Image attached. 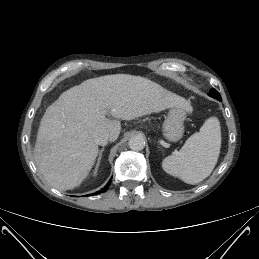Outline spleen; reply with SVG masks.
<instances>
[{
  "mask_svg": "<svg viewBox=\"0 0 259 259\" xmlns=\"http://www.w3.org/2000/svg\"><path fill=\"white\" fill-rule=\"evenodd\" d=\"M220 148V122L216 117H210L200 131L190 136L177 153L163 160L162 168L185 183L197 184L212 173Z\"/></svg>",
  "mask_w": 259,
  "mask_h": 259,
  "instance_id": "3e777b00",
  "label": "spleen"
}]
</instances>
